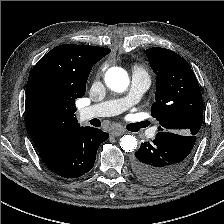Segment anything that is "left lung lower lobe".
Masks as SVG:
<instances>
[{"instance_id": "left-lung-lower-lobe-1", "label": "left lung lower lobe", "mask_w": 224, "mask_h": 224, "mask_svg": "<svg viewBox=\"0 0 224 224\" xmlns=\"http://www.w3.org/2000/svg\"><path fill=\"white\" fill-rule=\"evenodd\" d=\"M196 136L159 131L153 142L141 143L132 168L142 181L164 185L173 181L186 167Z\"/></svg>"}]
</instances>
